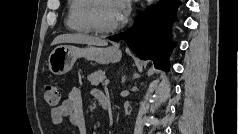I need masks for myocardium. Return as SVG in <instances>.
Masks as SVG:
<instances>
[{"label":"myocardium","instance_id":"obj_1","mask_svg":"<svg viewBox=\"0 0 239 134\" xmlns=\"http://www.w3.org/2000/svg\"><path fill=\"white\" fill-rule=\"evenodd\" d=\"M102 1L104 0H90V3L86 11V19L89 26L94 32L100 33V34H106V33L114 32L115 30L119 28L120 25L116 24L111 27H103L99 24L97 20V16H96V11H97L99 3Z\"/></svg>","mask_w":239,"mask_h":134}]
</instances>
